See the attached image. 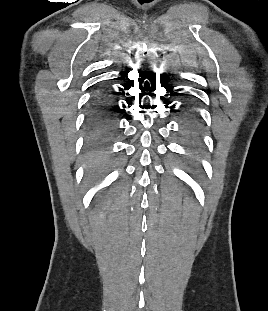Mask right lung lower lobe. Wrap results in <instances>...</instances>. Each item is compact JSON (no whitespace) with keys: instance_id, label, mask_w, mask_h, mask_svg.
<instances>
[{"instance_id":"1","label":"right lung lower lobe","mask_w":268,"mask_h":311,"mask_svg":"<svg viewBox=\"0 0 268 311\" xmlns=\"http://www.w3.org/2000/svg\"><path fill=\"white\" fill-rule=\"evenodd\" d=\"M111 95L109 92H100L91 101L85 125L90 139L94 142L111 137L117 130L118 106Z\"/></svg>"}]
</instances>
